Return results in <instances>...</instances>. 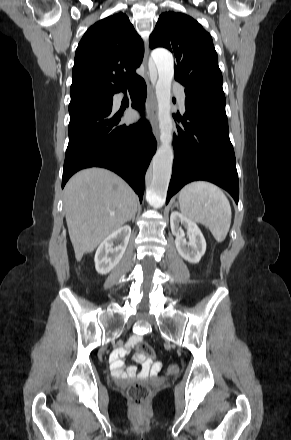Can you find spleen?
I'll return each mask as SVG.
<instances>
[{"mask_svg":"<svg viewBox=\"0 0 291 440\" xmlns=\"http://www.w3.org/2000/svg\"><path fill=\"white\" fill-rule=\"evenodd\" d=\"M184 216L205 225L217 242H223L231 224V207L223 191L206 181L187 184L179 193Z\"/></svg>","mask_w":291,"mask_h":440,"instance_id":"spleen-1","label":"spleen"}]
</instances>
